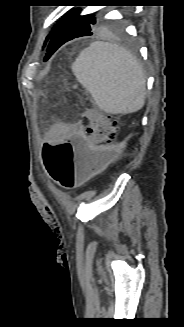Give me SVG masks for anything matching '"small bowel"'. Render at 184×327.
I'll use <instances>...</instances> for the list:
<instances>
[{
	"mask_svg": "<svg viewBox=\"0 0 184 327\" xmlns=\"http://www.w3.org/2000/svg\"><path fill=\"white\" fill-rule=\"evenodd\" d=\"M83 124L81 121L75 123H57L54 124L47 135V143H70L71 135H80L82 132L77 130V125ZM101 165V169L106 164Z\"/></svg>",
	"mask_w": 184,
	"mask_h": 327,
	"instance_id": "obj_1",
	"label": "small bowel"
}]
</instances>
